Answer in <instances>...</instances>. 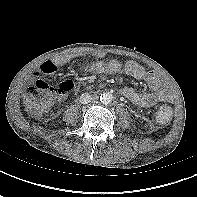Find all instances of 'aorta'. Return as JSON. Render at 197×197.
Returning a JSON list of instances; mask_svg holds the SVG:
<instances>
[{
	"instance_id": "aorta-1",
	"label": "aorta",
	"mask_w": 197,
	"mask_h": 197,
	"mask_svg": "<svg viewBox=\"0 0 197 197\" xmlns=\"http://www.w3.org/2000/svg\"><path fill=\"white\" fill-rule=\"evenodd\" d=\"M113 100V94L111 92H104L100 95V102L103 104H109Z\"/></svg>"
}]
</instances>
